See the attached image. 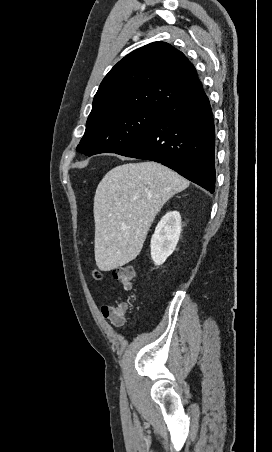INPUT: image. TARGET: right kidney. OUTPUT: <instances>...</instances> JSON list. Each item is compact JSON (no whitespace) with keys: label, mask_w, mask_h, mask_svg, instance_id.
<instances>
[{"label":"right kidney","mask_w":272,"mask_h":452,"mask_svg":"<svg viewBox=\"0 0 272 452\" xmlns=\"http://www.w3.org/2000/svg\"><path fill=\"white\" fill-rule=\"evenodd\" d=\"M181 233V216L178 211L166 213L155 228L151 238V258L154 264L162 265L173 253Z\"/></svg>","instance_id":"1"}]
</instances>
